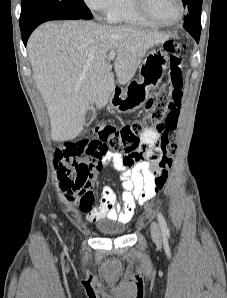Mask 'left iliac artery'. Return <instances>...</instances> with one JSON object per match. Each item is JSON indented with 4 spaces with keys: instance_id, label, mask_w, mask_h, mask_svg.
Wrapping results in <instances>:
<instances>
[{
    "instance_id": "left-iliac-artery-1",
    "label": "left iliac artery",
    "mask_w": 227,
    "mask_h": 298,
    "mask_svg": "<svg viewBox=\"0 0 227 298\" xmlns=\"http://www.w3.org/2000/svg\"><path fill=\"white\" fill-rule=\"evenodd\" d=\"M158 222L161 228V231L163 233L164 237H169L170 233H169V228L167 226L166 220L164 218V216L161 213H158Z\"/></svg>"
}]
</instances>
